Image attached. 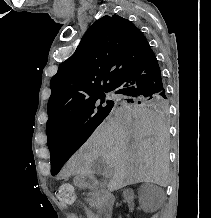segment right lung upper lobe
I'll use <instances>...</instances> for the list:
<instances>
[{
	"mask_svg": "<svg viewBox=\"0 0 211 218\" xmlns=\"http://www.w3.org/2000/svg\"><path fill=\"white\" fill-rule=\"evenodd\" d=\"M150 51L145 36L131 21L118 15L97 20L51 79L47 129L65 113L112 90Z\"/></svg>",
	"mask_w": 211,
	"mask_h": 218,
	"instance_id": "1",
	"label": "right lung upper lobe"
}]
</instances>
